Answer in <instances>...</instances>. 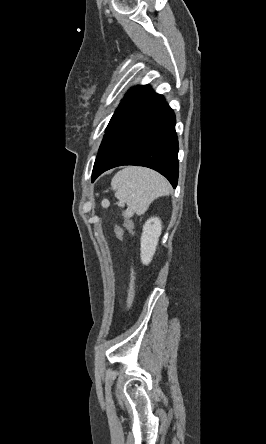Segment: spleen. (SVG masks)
<instances>
[{"instance_id": "1", "label": "spleen", "mask_w": 266, "mask_h": 444, "mask_svg": "<svg viewBox=\"0 0 266 444\" xmlns=\"http://www.w3.org/2000/svg\"><path fill=\"white\" fill-rule=\"evenodd\" d=\"M118 206L127 204V217L143 215L157 198L167 195L170 186L157 172L142 167H126L115 174L111 182Z\"/></svg>"}]
</instances>
